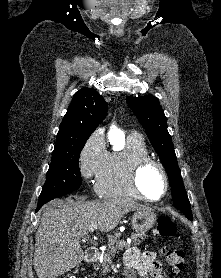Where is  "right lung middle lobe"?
<instances>
[{"label": "right lung middle lobe", "instance_id": "dd1d6c3e", "mask_svg": "<svg viewBox=\"0 0 221 278\" xmlns=\"http://www.w3.org/2000/svg\"><path fill=\"white\" fill-rule=\"evenodd\" d=\"M84 145L85 142L54 149L38 205H43L54 198L79 189L82 182L79 157Z\"/></svg>", "mask_w": 221, "mask_h": 278}]
</instances>
